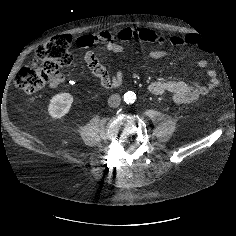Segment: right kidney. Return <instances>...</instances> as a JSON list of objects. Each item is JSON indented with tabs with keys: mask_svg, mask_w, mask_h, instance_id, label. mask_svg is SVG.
Instances as JSON below:
<instances>
[{
	"mask_svg": "<svg viewBox=\"0 0 236 236\" xmlns=\"http://www.w3.org/2000/svg\"><path fill=\"white\" fill-rule=\"evenodd\" d=\"M73 103V96L70 93H60L54 95L48 106L49 115L58 119L67 114Z\"/></svg>",
	"mask_w": 236,
	"mask_h": 236,
	"instance_id": "1",
	"label": "right kidney"
}]
</instances>
